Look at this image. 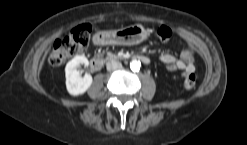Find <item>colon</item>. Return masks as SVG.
Instances as JSON below:
<instances>
[{
	"instance_id": "5ec220e1",
	"label": "colon",
	"mask_w": 247,
	"mask_h": 145,
	"mask_svg": "<svg viewBox=\"0 0 247 145\" xmlns=\"http://www.w3.org/2000/svg\"><path fill=\"white\" fill-rule=\"evenodd\" d=\"M157 36L162 41H168L173 32L171 28L165 25L158 26L155 30ZM91 35V27L87 24L79 25L73 28L68 35L57 39L49 56V62L54 66L62 65L69 58L77 54L80 50L87 47ZM196 84V76L193 72L185 73L184 88L192 89Z\"/></svg>"
}]
</instances>
